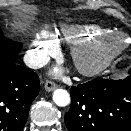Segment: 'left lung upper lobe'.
<instances>
[{
  "label": "left lung upper lobe",
  "instance_id": "5c2ea615",
  "mask_svg": "<svg viewBox=\"0 0 131 131\" xmlns=\"http://www.w3.org/2000/svg\"><path fill=\"white\" fill-rule=\"evenodd\" d=\"M129 74L131 75V69H130V71H129Z\"/></svg>",
  "mask_w": 131,
  "mask_h": 131
}]
</instances>
